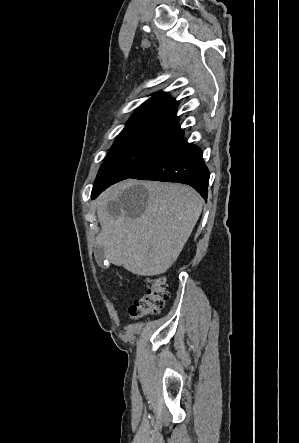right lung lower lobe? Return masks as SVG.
<instances>
[{
    "mask_svg": "<svg viewBox=\"0 0 299 443\" xmlns=\"http://www.w3.org/2000/svg\"><path fill=\"white\" fill-rule=\"evenodd\" d=\"M183 135L165 153L130 178L188 184L206 199L210 173L203 162L202 150L184 142ZM107 187L93 193L92 198Z\"/></svg>",
    "mask_w": 299,
    "mask_h": 443,
    "instance_id": "1",
    "label": "right lung lower lobe"
}]
</instances>
